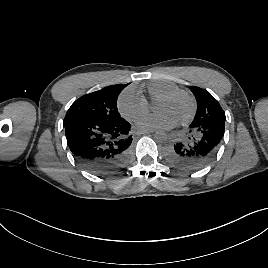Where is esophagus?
I'll list each match as a JSON object with an SVG mask.
<instances>
[{
  "label": "esophagus",
  "mask_w": 268,
  "mask_h": 268,
  "mask_svg": "<svg viewBox=\"0 0 268 268\" xmlns=\"http://www.w3.org/2000/svg\"><path fill=\"white\" fill-rule=\"evenodd\" d=\"M136 133H137L138 135H143V134H146L147 131L142 130V129H137Z\"/></svg>",
  "instance_id": "obj_1"
}]
</instances>
